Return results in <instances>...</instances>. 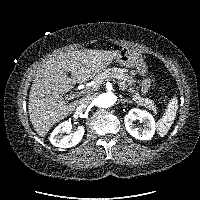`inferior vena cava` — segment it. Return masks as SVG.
Listing matches in <instances>:
<instances>
[{
  "label": "inferior vena cava",
  "instance_id": "inferior-vena-cava-1",
  "mask_svg": "<svg viewBox=\"0 0 200 200\" xmlns=\"http://www.w3.org/2000/svg\"><path fill=\"white\" fill-rule=\"evenodd\" d=\"M92 102H93L92 96H87L85 98H82L80 101V105L77 107V110L80 112L88 111V109L91 107Z\"/></svg>",
  "mask_w": 200,
  "mask_h": 200
}]
</instances>
